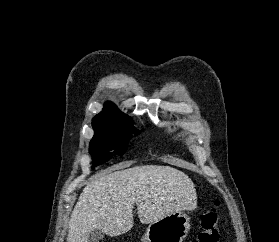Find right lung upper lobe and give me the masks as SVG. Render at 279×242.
I'll list each match as a JSON object with an SVG mask.
<instances>
[{"label": "right lung upper lobe", "instance_id": "right-lung-upper-lobe-1", "mask_svg": "<svg viewBox=\"0 0 279 242\" xmlns=\"http://www.w3.org/2000/svg\"><path fill=\"white\" fill-rule=\"evenodd\" d=\"M92 123H112L118 126H127L131 125L132 121L130 117L123 114L114 104L107 102L103 111L94 117Z\"/></svg>", "mask_w": 279, "mask_h": 242}]
</instances>
